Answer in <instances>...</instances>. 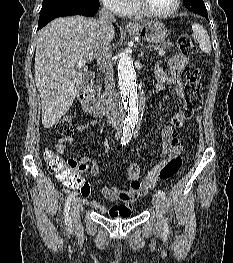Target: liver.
<instances>
[{
    "mask_svg": "<svg viewBox=\"0 0 233 263\" xmlns=\"http://www.w3.org/2000/svg\"><path fill=\"white\" fill-rule=\"evenodd\" d=\"M114 36L112 27L108 41ZM101 42L98 21L83 16L54 19L38 32L34 71L44 128H51L72 106L85 64L96 57ZM83 60L86 63L79 67Z\"/></svg>",
    "mask_w": 233,
    "mask_h": 263,
    "instance_id": "1",
    "label": "liver"
}]
</instances>
